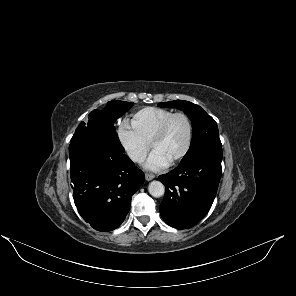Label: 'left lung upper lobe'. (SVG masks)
Here are the masks:
<instances>
[{
  "label": "left lung upper lobe",
  "mask_w": 296,
  "mask_h": 296,
  "mask_svg": "<svg viewBox=\"0 0 296 296\" xmlns=\"http://www.w3.org/2000/svg\"><path fill=\"white\" fill-rule=\"evenodd\" d=\"M158 106L181 109L192 121L193 136L190 148L181 162L199 153L222 148L217 123L199 105L184 100H175L159 103Z\"/></svg>",
  "instance_id": "left-lung-upper-lobe-1"
}]
</instances>
